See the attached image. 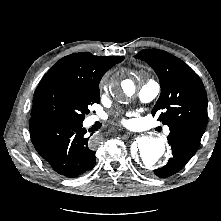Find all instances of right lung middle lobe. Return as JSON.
I'll use <instances>...</instances> for the list:
<instances>
[{
    "mask_svg": "<svg viewBox=\"0 0 221 221\" xmlns=\"http://www.w3.org/2000/svg\"><path fill=\"white\" fill-rule=\"evenodd\" d=\"M100 102L99 86L88 87L54 77L41 82L34 94L31 116L83 122L88 107Z\"/></svg>",
    "mask_w": 221,
    "mask_h": 221,
    "instance_id": "dd1d6c3e",
    "label": "right lung middle lobe"
}]
</instances>
